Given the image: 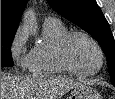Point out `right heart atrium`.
<instances>
[{
	"mask_svg": "<svg viewBox=\"0 0 115 99\" xmlns=\"http://www.w3.org/2000/svg\"><path fill=\"white\" fill-rule=\"evenodd\" d=\"M28 37V31L26 27H20L14 34L9 52L12 60L19 68L27 67L29 54L25 51V44Z\"/></svg>",
	"mask_w": 115,
	"mask_h": 99,
	"instance_id": "1",
	"label": "right heart atrium"
}]
</instances>
